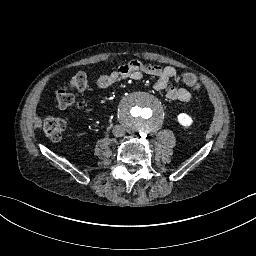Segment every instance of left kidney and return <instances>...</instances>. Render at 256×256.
Instances as JSON below:
<instances>
[{"label": "left kidney", "instance_id": "obj_1", "mask_svg": "<svg viewBox=\"0 0 256 256\" xmlns=\"http://www.w3.org/2000/svg\"><path fill=\"white\" fill-rule=\"evenodd\" d=\"M178 122L187 127V126H190L192 124V118L190 116H188L187 114L185 113H181L178 115Z\"/></svg>", "mask_w": 256, "mask_h": 256}]
</instances>
